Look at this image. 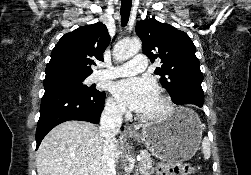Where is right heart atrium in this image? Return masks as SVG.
<instances>
[{
	"label": "right heart atrium",
	"mask_w": 251,
	"mask_h": 175,
	"mask_svg": "<svg viewBox=\"0 0 251 175\" xmlns=\"http://www.w3.org/2000/svg\"><path fill=\"white\" fill-rule=\"evenodd\" d=\"M105 112L113 119H122L126 116V110L112 97L108 98L106 102Z\"/></svg>",
	"instance_id": "d8ad5b80"
}]
</instances>
